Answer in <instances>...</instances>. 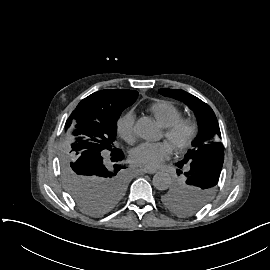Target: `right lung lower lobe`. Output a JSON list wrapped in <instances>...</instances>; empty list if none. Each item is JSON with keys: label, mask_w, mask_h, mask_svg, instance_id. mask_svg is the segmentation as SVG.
<instances>
[{"label": "right lung lower lobe", "mask_w": 270, "mask_h": 270, "mask_svg": "<svg viewBox=\"0 0 270 270\" xmlns=\"http://www.w3.org/2000/svg\"><path fill=\"white\" fill-rule=\"evenodd\" d=\"M121 161H122V160H121ZM103 163H104V162H103ZM111 164H112V165H113V164H116V162L111 163ZM104 165L107 167V166L109 165V163H107V164L104 163ZM118 166H123V169L126 168L124 165H121V163H120V165H118ZM123 169H122V171H123Z\"/></svg>", "instance_id": "1"}]
</instances>
